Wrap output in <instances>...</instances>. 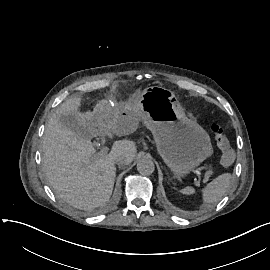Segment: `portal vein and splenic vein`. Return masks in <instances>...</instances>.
<instances>
[{
    "instance_id": "obj_1",
    "label": "portal vein and splenic vein",
    "mask_w": 270,
    "mask_h": 270,
    "mask_svg": "<svg viewBox=\"0 0 270 270\" xmlns=\"http://www.w3.org/2000/svg\"><path fill=\"white\" fill-rule=\"evenodd\" d=\"M108 152H109V149H108V148H105V147H104V149H101V150H100V153H101V154H105V153H108ZM195 171H196V170H195ZM191 172H194V169H191ZM196 172H197V171H196ZM198 172H200V171H198ZM201 177H204V174H201ZM206 181H207V178L204 179V182H206Z\"/></svg>"
}]
</instances>
